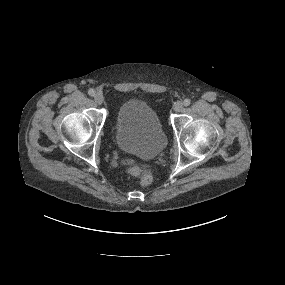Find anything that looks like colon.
I'll return each mask as SVG.
<instances>
[{
    "mask_svg": "<svg viewBox=\"0 0 285 285\" xmlns=\"http://www.w3.org/2000/svg\"><path fill=\"white\" fill-rule=\"evenodd\" d=\"M127 172L135 177L140 178V183L143 186H148L153 180V174L150 168L141 169L134 161H128L126 165Z\"/></svg>",
    "mask_w": 285,
    "mask_h": 285,
    "instance_id": "obj_1",
    "label": "colon"
}]
</instances>
